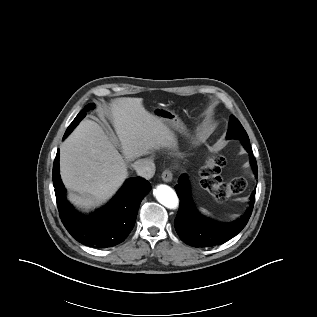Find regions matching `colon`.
<instances>
[{"mask_svg":"<svg viewBox=\"0 0 317 317\" xmlns=\"http://www.w3.org/2000/svg\"><path fill=\"white\" fill-rule=\"evenodd\" d=\"M224 164V157L215 156L209 160L201 171L202 186L220 201L232 195L240 194L245 190L247 185V181L244 177H237L229 182L222 181L220 171Z\"/></svg>","mask_w":317,"mask_h":317,"instance_id":"1","label":"colon"}]
</instances>
